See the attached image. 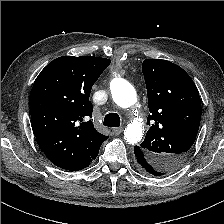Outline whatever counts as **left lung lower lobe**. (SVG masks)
<instances>
[{
	"label": "left lung lower lobe",
	"instance_id": "left-lung-lower-lobe-1",
	"mask_svg": "<svg viewBox=\"0 0 224 224\" xmlns=\"http://www.w3.org/2000/svg\"><path fill=\"white\" fill-rule=\"evenodd\" d=\"M134 153L136 156V167L139 172L147 176H157L159 174L147 161L144 153L140 149L134 147Z\"/></svg>",
	"mask_w": 224,
	"mask_h": 224
}]
</instances>
